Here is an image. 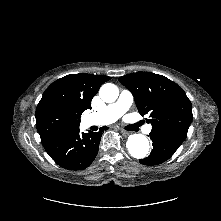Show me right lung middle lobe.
<instances>
[{"label":"right lung middle lobe","instance_id":"dd1d6c3e","mask_svg":"<svg viewBox=\"0 0 221 221\" xmlns=\"http://www.w3.org/2000/svg\"><path fill=\"white\" fill-rule=\"evenodd\" d=\"M78 125L79 123L69 113L61 109L44 113L36 121L42 143L50 142L55 138L74 131Z\"/></svg>","mask_w":221,"mask_h":221}]
</instances>
